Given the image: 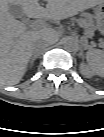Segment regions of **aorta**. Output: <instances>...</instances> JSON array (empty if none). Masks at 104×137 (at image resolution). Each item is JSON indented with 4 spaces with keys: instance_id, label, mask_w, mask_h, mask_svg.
Returning <instances> with one entry per match:
<instances>
[{
    "instance_id": "obj_1",
    "label": "aorta",
    "mask_w": 104,
    "mask_h": 137,
    "mask_svg": "<svg viewBox=\"0 0 104 137\" xmlns=\"http://www.w3.org/2000/svg\"><path fill=\"white\" fill-rule=\"evenodd\" d=\"M62 47L68 52H76L78 50V41L71 37H66L62 39Z\"/></svg>"
}]
</instances>
